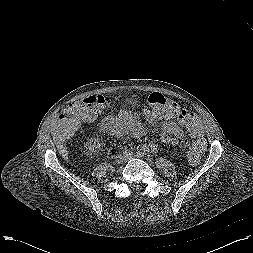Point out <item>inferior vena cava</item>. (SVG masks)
Instances as JSON below:
<instances>
[{
  "label": "inferior vena cava",
  "instance_id": "inferior-vena-cava-1",
  "mask_svg": "<svg viewBox=\"0 0 253 253\" xmlns=\"http://www.w3.org/2000/svg\"><path fill=\"white\" fill-rule=\"evenodd\" d=\"M126 160H127V157L125 154H121V155L116 156V162H118V163H123Z\"/></svg>",
  "mask_w": 253,
  "mask_h": 253
}]
</instances>
